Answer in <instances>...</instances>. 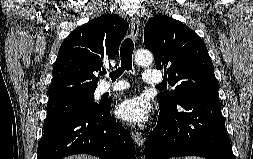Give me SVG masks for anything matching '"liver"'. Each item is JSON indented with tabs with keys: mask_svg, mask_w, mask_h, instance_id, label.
<instances>
[{
	"mask_svg": "<svg viewBox=\"0 0 253 159\" xmlns=\"http://www.w3.org/2000/svg\"><path fill=\"white\" fill-rule=\"evenodd\" d=\"M64 159H99V158L94 157V156H89V155L81 154V155L69 156V157H66Z\"/></svg>",
	"mask_w": 253,
	"mask_h": 159,
	"instance_id": "obj_1",
	"label": "liver"
}]
</instances>
